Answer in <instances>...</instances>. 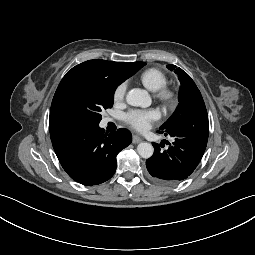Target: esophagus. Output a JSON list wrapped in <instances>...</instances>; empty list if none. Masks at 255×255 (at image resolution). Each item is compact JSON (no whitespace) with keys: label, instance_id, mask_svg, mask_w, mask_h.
<instances>
[{"label":"esophagus","instance_id":"1","mask_svg":"<svg viewBox=\"0 0 255 255\" xmlns=\"http://www.w3.org/2000/svg\"><path fill=\"white\" fill-rule=\"evenodd\" d=\"M141 141H142V139L139 136L133 135L132 143L137 144V143H139Z\"/></svg>","mask_w":255,"mask_h":255}]
</instances>
